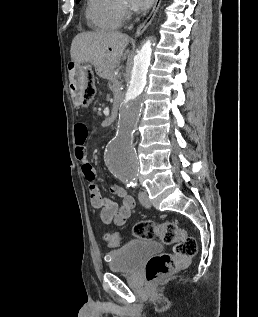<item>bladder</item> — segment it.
<instances>
[{
  "mask_svg": "<svg viewBox=\"0 0 258 317\" xmlns=\"http://www.w3.org/2000/svg\"><path fill=\"white\" fill-rule=\"evenodd\" d=\"M162 245L147 240H131L124 246L108 253V266L111 271L132 272L152 257L162 252Z\"/></svg>",
  "mask_w": 258,
  "mask_h": 317,
  "instance_id": "1",
  "label": "bladder"
}]
</instances>
